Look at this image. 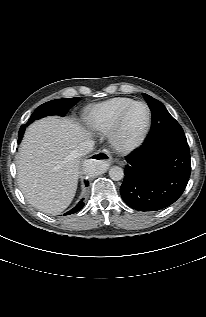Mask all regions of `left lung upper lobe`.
<instances>
[{
	"label": "left lung upper lobe",
	"instance_id": "obj_1",
	"mask_svg": "<svg viewBox=\"0 0 206 317\" xmlns=\"http://www.w3.org/2000/svg\"><path fill=\"white\" fill-rule=\"evenodd\" d=\"M143 97L152 111V126L146 142L163 138L186 139L182 127L160 101L145 93H143Z\"/></svg>",
	"mask_w": 206,
	"mask_h": 317
}]
</instances>
